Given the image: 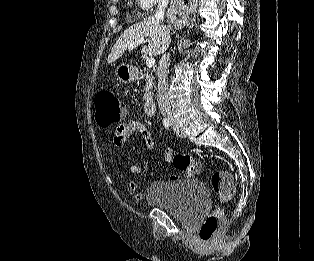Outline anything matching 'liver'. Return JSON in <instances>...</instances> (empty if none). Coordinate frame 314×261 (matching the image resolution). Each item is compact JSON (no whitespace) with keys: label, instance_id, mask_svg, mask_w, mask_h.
Returning <instances> with one entry per match:
<instances>
[{"label":"liver","instance_id":"6515ba94","mask_svg":"<svg viewBox=\"0 0 314 261\" xmlns=\"http://www.w3.org/2000/svg\"><path fill=\"white\" fill-rule=\"evenodd\" d=\"M149 37L148 46L142 49V53L151 56H158L162 54L169 46L170 33L169 30L155 17H148L143 21L136 23L126 29L118 38L113 46L111 53L108 55V63H112L119 59L129 45L144 40Z\"/></svg>","mask_w":314,"mask_h":261}]
</instances>
